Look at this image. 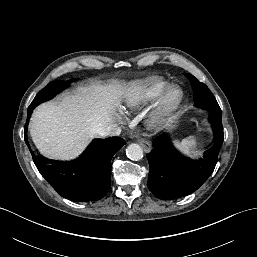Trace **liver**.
Masks as SVG:
<instances>
[{
	"label": "liver",
	"instance_id": "liver-1",
	"mask_svg": "<svg viewBox=\"0 0 257 257\" xmlns=\"http://www.w3.org/2000/svg\"><path fill=\"white\" fill-rule=\"evenodd\" d=\"M130 90L117 83L78 87L59 102L39 106L31 119L30 135L39 151L51 159L78 155L91 136L112 122L119 97Z\"/></svg>",
	"mask_w": 257,
	"mask_h": 257
}]
</instances>
